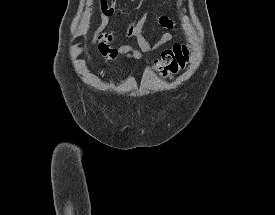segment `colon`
Returning <instances> with one entry per match:
<instances>
[{"mask_svg": "<svg viewBox=\"0 0 275 215\" xmlns=\"http://www.w3.org/2000/svg\"><path fill=\"white\" fill-rule=\"evenodd\" d=\"M107 2V0H104ZM113 8L116 0H109ZM108 4V3H107ZM189 62V49L183 43H175L170 48L162 51L161 55L154 61V69L160 77L176 75L182 71Z\"/></svg>", "mask_w": 275, "mask_h": 215, "instance_id": "1", "label": "colon"}]
</instances>
